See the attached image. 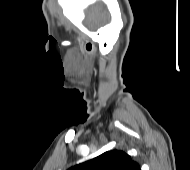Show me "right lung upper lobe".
<instances>
[{"label":"right lung upper lobe","instance_id":"obj_1","mask_svg":"<svg viewBox=\"0 0 190 170\" xmlns=\"http://www.w3.org/2000/svg\"><path fill=\"white\" fill-rule=\"evenodd\" d=\"M68 170H141L137 162L121 150L107 151Z\"/></svg>","mask_w":190,"mask_h":170}]
</instances>
